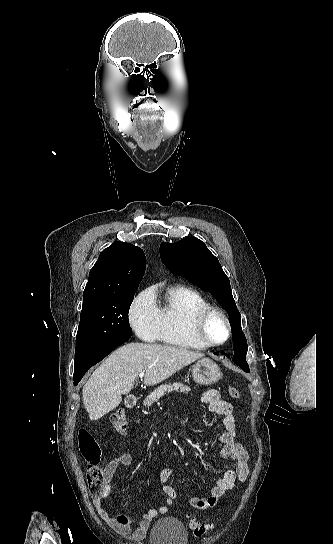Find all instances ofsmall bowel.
I'll return each mask as SVG.
<instances>
[{
	"instance_id": "obj_1",
	"label": "small bowel",
	"mask_w": 333,
	"mask_h": 544,
	"mask_svg": "<svg viewBox=\"0 0 333 544\" xmlns=\"http://www.w3.org/2000/svg\"><path fill=\"white\" fill-rule=\"evenodd\" d=\"M201 401L206 404L209 412L223 416V430L215 434V438L221 443L220 455L222 458L235 463L234 469H229L223 477L216 480L209 494L205 497H191L189 504L198 510H206L217 505L219 499L228 491L233 489L237 483L244 482L249 475V455L244 447L236 442V423L233 416V406L222 400L215 389L203 392ZM133 458L129 453H122L110 460L104 467L106 482L101 490L92 491V502L98 515L120 536L140 541L144 539L150 523L158 515L167 514L173 511V505L178 498L177 490L169 484L173 470L169 467L160 472V479L164 483L163 492L166 496L163 505L146 511L141 519L135 524L132 517L126 514L110 515L104 508V501L108 497L111 486L110 480L116 471L121 467H129Z\"/></svg>"
}]
</instances>
